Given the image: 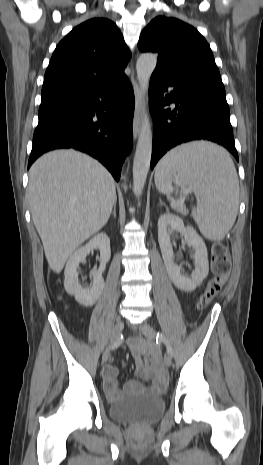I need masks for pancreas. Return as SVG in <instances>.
<instances>
[{"label":"pancreas","instance_id":"1","mask_svg":"<svg viewBox=\"0 0 263 465\" xmlns=\"http://www.w3.org/2000/svg\"><path fill=\"white\" fill-rule=\"evenodd\" d=\"M174 209L176 210V212H178V213H180V214H182V215H184V216H186V215L188 214V210H187L186 207H185L183 204H181V203H179V204L176 206V208H174Z\"/></svg>","mask_w":263,"mask_h":465}]
</instances>
